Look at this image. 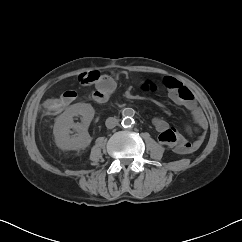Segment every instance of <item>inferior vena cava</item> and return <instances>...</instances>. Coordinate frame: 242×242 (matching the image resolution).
I'll return each mask as SVG.
<instances>
[{"label": "inferior vena cava", "mask_w": 242, "mask_h": 242, "mask_svg": "<svg viewBox=\"0 0 242 242\" xmlns=\"http://www.w3.org/2000/svg\"><path fill=\"white\" fill-rule=\"evenodd\" d=\"M105 125L108 129H112L118 125V119L115 117H109L106 119Z\"/></svg>", "instance_id": "602c4592"}]
</instances>
